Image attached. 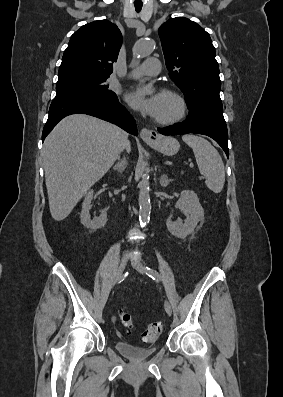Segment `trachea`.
Listing matches in <instances>:
<instances>
[{
	"label": "trachea",
	"mask_w": 283,
	"mask_h": 397,
	"mask_svg": "<svg viewBox=\"0 0 283 397\" xmlns=\"http://www.w3.org/2000/svg\"><path fill=\"white\" fill-rule=\"evenodd\" d=\"M142 9V5H135L136 12H140Z\"/></svg>",
	"instance_id": "3493384b"
}]
</instances>
